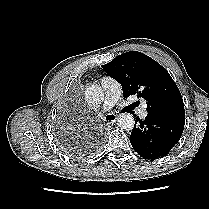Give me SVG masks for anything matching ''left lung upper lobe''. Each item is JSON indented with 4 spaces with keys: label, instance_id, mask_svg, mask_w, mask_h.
<instances>
[{
    "label": "left lung upper lobe",
    "instance_id": "obj_1",
    "mask_svg": "<svg viewBox=\"0 0 209 209\" xmlns=\"http://www.w3.org/2000/svg\"><path fill=\"white\" fill-rule=\"evenodd\" d=\"M122 85L123 96L137 95L147 102L148 115L184 125L181 93L167 70L149 56L130 51L102 65Z\"/></svg>",
    "mask_w": 209,
    "mask_h": 209
}]
</instances>
